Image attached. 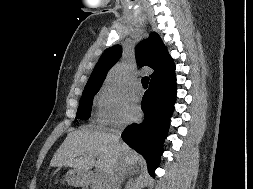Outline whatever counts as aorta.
I'll return each instance as SVG.
<instances>
[{"mask_svg":"<svg viewBox=\"0 0 253 189\" xmlns=\"http://www.w3.org/2000/svg\"><path fill=\"white\" fill-rule=\"evenodd\" d=\"M123 68L118 66L114 68L108 78L107 85L110 88H118L122 79Z\"/></svg>","mask_w":253,"mask_h":189,"instance_id":"obj_1","label":"aorta"}]
</instances>
